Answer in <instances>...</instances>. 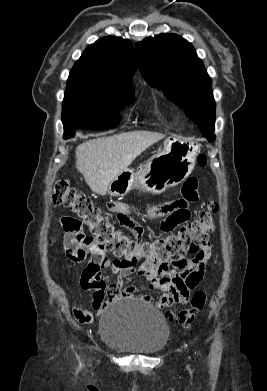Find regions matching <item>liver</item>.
Listing matches in <instances>:
<instances>
[{"mask_svg":"<svg viewBox=\"0 0 267 391\" xmlns=\"http://www.w3.org/2000/svg\"><path fill=\"white\" fill-rule=\"evenodd\" d=\"M164 137L157 132L130 131L86 141L76 148V168L93 192L105 195L114 178Z\"/></svg>","mask_w":267,"mask_h":391,"instance_id":"liver-1","label":"liver"}]
</instances>
